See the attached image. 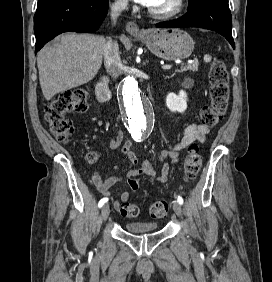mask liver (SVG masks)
<instances>
[{
    "mask_svg": "<svg viewBox=\"0 0 272 282\" xmlns=\"http://www.w3.org/2000/svg\"><path fill=\"white\" fill-rule=\"evenodd\" d=\"M105 38L92 34H64L37 56L39 81L46 100L91 81L102 65Z\"/></svg>",
    "mask_w": 272,
    "mask_h": 282,
    "instance_id": "liver-1",
    "label": "liver"
}]
</instances>
